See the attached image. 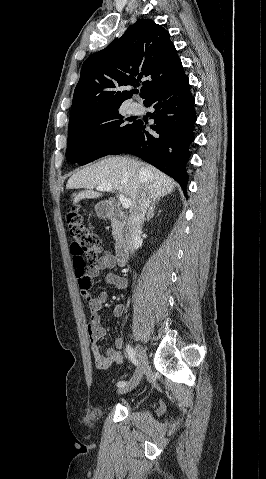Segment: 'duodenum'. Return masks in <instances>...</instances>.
<instances>
[{"label": "duodenum", "mask_w": 266, "mask_h": 479, "mask_svg": "<svg viewBox=\"0 0 266 479\" xmlns=\"http://www.w3.org/2000/svg\"><path fill=\"white\" fill-rule=\"evenodd\" d=\"M104 212L119 226L121 231L130 221L116 201H109L104 208ZM129 257L130 244L125 236H121L115 254V263L118 266H124L128 262Z\"/></svg>", "instance_id": "1"}]
</instances>
